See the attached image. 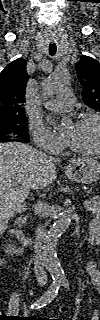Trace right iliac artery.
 Here are the masks:
<instances>
[{
  "label": "right iliac artery",
  "mask_w": 100,
  "mask_h": 320,
  "mask_svg": "<svg viewBox=\"0 0 100 320\" xmlns=\"http://www.w3.org/2000/svg\"><path fill=\"white\" fill-rule=\"evenodd\" d=\"M61 285L62 282L60 280L53 281L48 291L38 301L32 304L30 309H39L50 303L56 297Z\"/></svg>",
  "instance_id": "obj_1"
}]
</instances>
